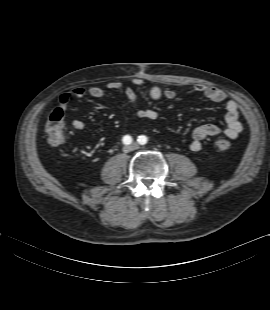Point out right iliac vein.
<instances>
[{"instance_id": "right-iliac-vein-1", "label": "right iliac vein", "mask_w": 270, "mask_h": 310, "mask_svg": "<svg viewBox=\"0 0 270 310\" xmlns=\"http://www.w3.org/2000/svg\"><path fill=\"white\" fill-rule=\"evenodd\" d=\"M131 149H132L131 146H125V147L123 148V151L127 153V152H129Z\"/></svg>"}]
</instances>
